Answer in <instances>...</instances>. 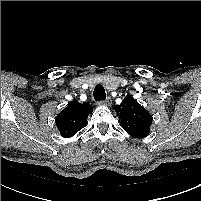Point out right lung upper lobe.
I'll use <instances>...</instances> for the list:
<instances>
[{
  "label": "right lung upper lobe",
  "instance_id": "1",
  "mask_svg": "<svg viewBox=\"0 0 201 201\" xmlns=\"http://www.w3.org/2000/svg\"><path fill=\"white\" fill-rule=\"evenodd\" d=\"M93 111L90 104L71 101L56 117L61 136L69 138L85 127L88 115Z\"/></svg>",
  "mask_w": 201,
  "mask_h": 201
}]
</instances>
